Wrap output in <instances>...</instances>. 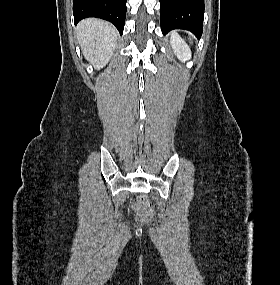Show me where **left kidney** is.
<instances>
[{
    "label": "left kidney",
    "mask_w": 280,
    "mask_h": 285,
    "mask_svg": "<svg viewBox=\"0 0 280 285\" xmlns=\"http://www.w3.org/2000/svg\"><path fill=\"white\" fill-rule=\"evenodd\" d=\"M170 43L175 55L180 61L185 62L191 58L190 48L177 33L171 34Z\"/></svg>",
    "instance_id": "1"
}]
</instances>
